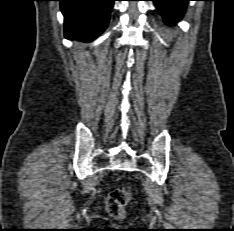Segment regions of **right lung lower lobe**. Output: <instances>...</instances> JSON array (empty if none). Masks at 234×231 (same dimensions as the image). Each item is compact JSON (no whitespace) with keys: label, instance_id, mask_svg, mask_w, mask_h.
<instances>
[{"label":"right lung lower lobe","instance_id":"1","mask_svg":"<svg viewBox=\"0 0 234 231\" xmlns=\"http://www.w3.org/2000/svg\"><path fill=\"white\" fill-rule=\"evenodd\" d=\"M66 37L92 40L107 27L115 0H59Z\"/></svg>","mask_w":234,"mask_h":231}]
</instances>
